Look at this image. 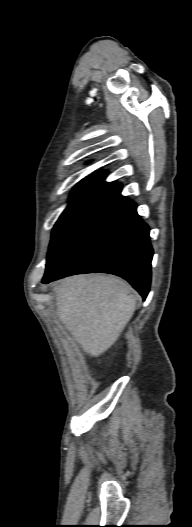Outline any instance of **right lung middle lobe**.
<instances>
[{
    "instance_id": "obj_1",
    "label": "right lung middle lobe",
    "mask_w": 192,
    "mask_h": 527,
    "mask_svg": "<svg viewBox=\"0 0 192 527\" xmlns=\"http://www.w3.org/2000/svg\"><path fill=\"white\" fill-rule=\"evenodd\" d=\"M104 185L105 183L102 182H83L76 185L71 194V202L64 210V212L62 213L53 228L49 252L56 245L57 241L66 231V229L70 226V224L97 196V194L101 191Z\"/></svg>"
}]
</instances>
